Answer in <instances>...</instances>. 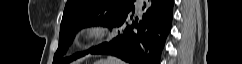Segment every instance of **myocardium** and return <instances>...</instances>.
Masks as SVG:
<instances>
[{
  "mask_svg": "<svg viewBox=\"0 0 242 64\" xmlns=\"http://www.w3.org/2000/svg\"><path fill=\"white\" fill-rule=\"evenodd\" d=\"M108 34V28L101 25H91L85 27L78 36L81 45H88L103 40Z\"/></svg>",
  "mask_w": 242,
  "mask_h": 64,
  "instance_id": "obj_1",
  "label": "myocardium"
}]
</instances>
